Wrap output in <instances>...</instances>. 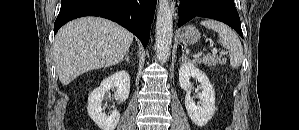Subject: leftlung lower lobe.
<instances>
[{"label": "left lung lower lobe", "mask_w": 299, "mask_h": 130, "mask_svg": "<svg viewBox=\"0 0 299 130\" xmlns=\"http://www.w3.org/2000/svg\"><path fill=\"white\" fill-rule=\"evenodd\" d=\"M178 27L199 16L222 21L243 37L234 0H180Z\"/></svg>", "instance_id": "0a47b994"}]
</instances>
